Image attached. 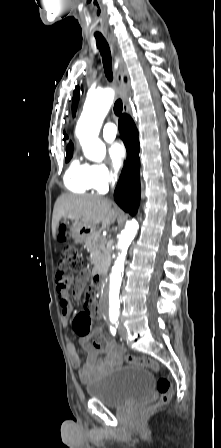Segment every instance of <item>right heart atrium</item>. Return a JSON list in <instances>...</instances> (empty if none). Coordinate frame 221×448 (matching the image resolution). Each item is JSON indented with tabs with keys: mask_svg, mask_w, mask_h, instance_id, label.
I'll return each instance as SVG.
<instances>
[{
	"mask_svg": "<svg viewBox=\"0 0 221 448\" xmlns=\"http://www.w3.org/2000/svg\"><path fill=\"white\" fill-rule=\"evenodd\" d=\"M90 181L94 189L103 191L112 185L117 178L115 172H113L107 165L102 163L93 164L89 167Z\"/></svg>",
	"mask_w": 221,
	"mask_h": 448,
	"instance_id": "1",
	"label": "right heart atrium"
}]
</instances>
